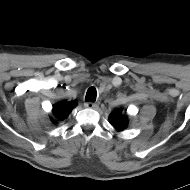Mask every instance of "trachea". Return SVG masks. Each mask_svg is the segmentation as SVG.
<instances>
[{"label": "trachea", "instance_id": "trachea-1", "mask_svg": "<svg viewBox=\"0 0 190 190\" xmlns=\"http://www.w3.org/2000/svg\"><path fill=\"white\" fill-rule=\"evenodd\" d=\"M96 96H97V91L95 87H90L87 90L86 96H85V101H91V102H95L96 100Z\"/></svg>", "mask_w": 190, "mask_h": 190}]
</instances>
